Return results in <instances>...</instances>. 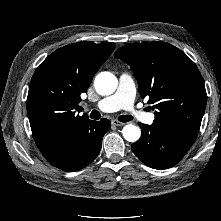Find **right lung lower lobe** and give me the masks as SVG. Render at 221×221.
<instances>
[{
    "mask_svg": "<svg viewBox=\"0 0 221 221\" xmlns=\"http://www.w3.org/2000/svg\"><path fill=\"white\" fill-rule=\"evenodd\" d=\"M110 125L107 119L89 121L75 134L62 138L40 151L55 167L68 172L78 171L97 157L102 138Z\"/></svg>",
    "mask_w": 221,
    "mask_h": 221,
    "instance_id": "98d812e1",
    "label": "right lung lower lobe"
}]
</instances>
